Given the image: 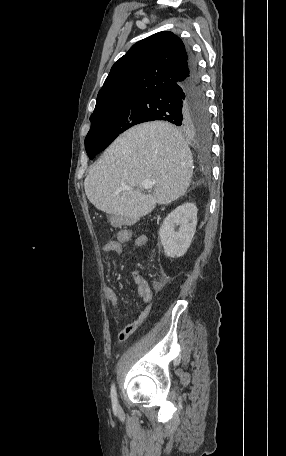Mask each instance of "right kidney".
<instances>
[{
    "mask_svg": "<svg viewBox=\"0 0 286 456\" xmlns=\"http://www.w3.org/2000/svg\"><path fill=\"white\" fill-rule=\"evenodd\" d=\"M197 211L195 204L185 203L164 219L159 237L166 256L175 258L186 253L196 231ZM176 226H179L178 231H175Z\"/></svg>",
    "mask_w": 286,
    "mask_h": 456,
    "instance_id": "1",
    "label": "right kidney"
}]
</instances>
